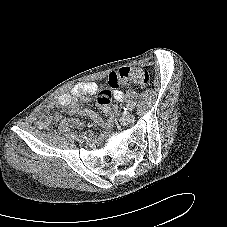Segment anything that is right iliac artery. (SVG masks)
Listing matches in <instances>:
<instances>
[{"mask_svg":"<svg viewBox=\"0 0 227 227\" xmlns=\"http://www.w3.org/2000/svg\"><path fill=\"white\" fill-rule=\"evenodd\" d=\"M71 137H72V138H76L77 135L73 133V134H71Z\"/></svg>","mask_w":227,"mask_h":227,"instance_id":"82829eb1","label":"right iliac artery"}]
</instances>
